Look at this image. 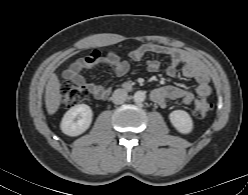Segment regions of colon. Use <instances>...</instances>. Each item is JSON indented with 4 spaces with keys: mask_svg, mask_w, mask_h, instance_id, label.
<instances>
[{
    "mask_svg": "<svg viewBox=\"0 0 248 195\" xmlns=\"http://www.w3.org/2000/svg\"><path fill=\"white\" fill-rule=\"evenodd\" d=\"M61 95L65 106L73 107L87 98V91L81 85L66 81L62 84ZM212 110L213 104L207 98L200 96L196 99L194 105V115L197 118L206 117Z\"/></svg>",
    "mask_w": 248,
    "mask_h": 195,
    "instance_id": "1",
    "label": "colon"
}]
</instances>
